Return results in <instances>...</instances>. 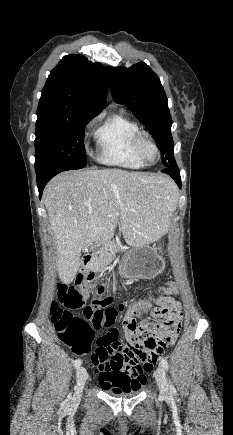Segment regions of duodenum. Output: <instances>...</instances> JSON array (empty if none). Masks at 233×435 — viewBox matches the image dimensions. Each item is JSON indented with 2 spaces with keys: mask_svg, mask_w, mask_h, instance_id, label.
Here are the masks:
<instances>
[{
  "mask_svg": "<svg viewBox=\"0 0 233 435\" xmlns=\"http://www.w3.org/2000/svg\"><path fill=\"white\" fill-rule=\"evenodd\" d=\"M110 250V246L107 242H102L96 246L94 250H92L90 253H87L84 256L83 261V271L90 270L93 268V263L96 257H98L100 254L107 252ZM114 251H117L118 248H114ZM98 288L96 290V293L98 294Z\"/></svg>",
  "mask_w": 233,
  "mask_h": 435,
  "instance_id": "obj_1",
  "label": "duodenum"
}]
</instances>
